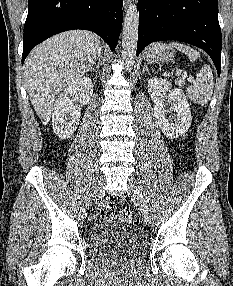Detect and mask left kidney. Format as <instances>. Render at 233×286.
Masks as SVG:
<instances>
[{
	"label": "left kidney",
	"mask_w": 233,
	"mask_h": 286,
	"mask_svg": "<svg viewBox=\"0 0 233 286\" xmlns=\"http://www.w3.org/2000/svg\"><path fill=\"white\" fill-rule=\"evenodd\" d=\"M148 91L154 102L155 119L165 136L175 139L185 134L191 125L192 117L183 91L178 88L171 90V83L168 80L155 77L148 80ZM168 92L170 110L177 113L174 122L166 117L163 106Z\"/></svg>",
	"instance_id": "1"
}]
</instances>
